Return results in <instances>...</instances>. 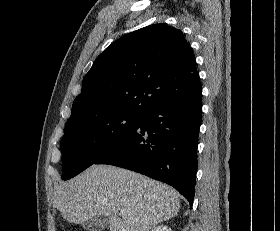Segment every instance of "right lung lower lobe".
Masks as SVG:
<instances>
[{
	"instance_id": "right-lung-lower-lobe-1",
	"label": "right lung lower lobe",
	"mask_w": 280,
	"mask_h": 231,
	"mask_svg": "<svg viewBox=\"0 0 280 231\" xmlns=\"http://www.w3.org/2000/svg\"><path fill=\"white\" fill-rule=\"evenodd\" d=\"M202 91L174 98L142 115L138 126L94 164L139 172L177 189L190 207L198 167Z\"/></svg>"
}]
</instances>
